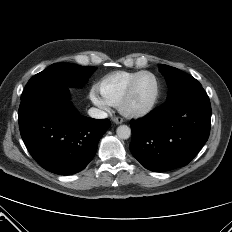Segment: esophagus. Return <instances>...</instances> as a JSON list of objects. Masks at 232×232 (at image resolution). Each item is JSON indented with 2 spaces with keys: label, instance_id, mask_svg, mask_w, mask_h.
<instances>
[{
  "label": "esophagus",
  "instance_id": "esophagus-1",
  "mask_svg": "<svg viewBox=\"0 0 232 232\" xmlns=\"http://www.w3.org/2000/svg\"><path fill=\"white\" fill-rule=\"evenodd\" d=\"M113 122L116 124H121L123 123V119L121 117H114Z\"/></svg>",
  "mask_w": 232,
  "mask_h": 232
}]
</instances>
